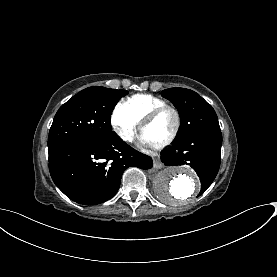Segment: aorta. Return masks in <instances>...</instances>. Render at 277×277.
<instances>
[{"instance_id": "obj_1", "label": "aorta", "mask_w": 277, "mask_h": 277, "mask_svg": "<svg viewBox=\"0 0 277 277\" xmlns=\"http://www.w3.org/2000/svg\"><path fill=\"white\" fill-rule=\"evenodd\" d=\"M157 195L169 204L184 203L200 191V180L188 168L170 167L160 171L154 181Z\"/></svg>"}]
</instances>
